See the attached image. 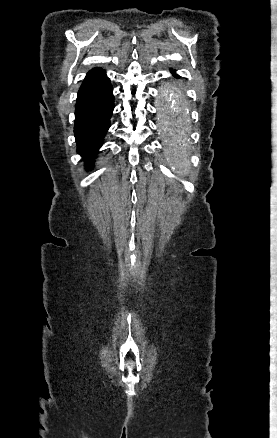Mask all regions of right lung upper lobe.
<instances>
[{"label": "right lung upper lobe", "instance_id": "right-lung-upper-lobe-1", "mask_svg": "<svg viewBox=\"0 0 277 438\" xmlns=\"http://www.w3.org/2000/svg\"><path fill=\"white\" fill-rule=\"evenodd\" d=\"M102 71H103L102 68H94V69H92L91 71L88 72L87 77L91 76V75H94V74H97V73L102 72Z\"/></svg>", "mask_w": 277, "mask_h": 438}]
</instances>
